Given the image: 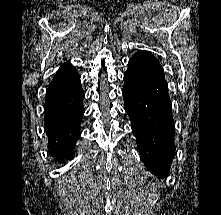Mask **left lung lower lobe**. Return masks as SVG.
Masks as SVG:
<instances>
[{"mask_svg": "<svg viewBox=\"0 0 221 215\" xmlns=\"http://www.w3.org/2000/svg\"><path fill=\"white\" fill-rule=\"evenodd\" d=\"M122 94L143 162L165 177L175 151L171 104L163 68L150 52L141 50L130 58Z\"/></svg>", "mask_w": 221, "mask_h": 215, "instance_id": "0a47b994", "label": "left lung lower lobe"}]
</instances>
